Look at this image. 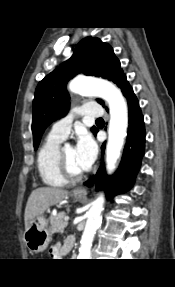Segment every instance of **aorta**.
I'll return each instance as SVG.
<instances>
[{"mask_svg":"<svg viewBox=\"0 0 175 287\" xmlns=\"http://www.w3.org/2000/svg\"><path fill=\"white\" fill-rule=\"evenodd\" d=\"M73 93L93 94L103 98L109 105L110 121L106 146V168L112 173L120 157L128 127V109L121 91L112 83L86 78H76L69 84ZM104 196L93 201L88 211L86 226L81 239L78 259H91V247L97 228L101 223Z\"/></svg>","mask_w":175,"mask_h":287,"instance_id":"obj_1","label":"aorta"}]
</instances>
